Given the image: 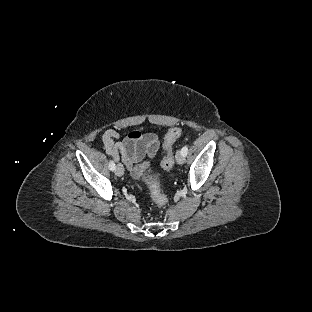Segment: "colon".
<instances>
[{
    "mask_svg": "<svg viewBox=\"0 0 312 312\" xmlns=\"http://www.w3.org/2000/svg\"><path fill=\"white\" fill-rule=\"evenodd\" d=\"M180 136L181 130L176 127L169 129L165 134L163 141V150L165 153L160 161V166L165 171L171 170L175 165V160L173 156V146ZM151 176H152L151 177L152 184L150 186L151 197L156 204H158L159 206H163L167 202V198L163 194L160 187L158 186L161 176L157 172L152 173Z\"/></svg>",
    "mask_w": 312,
    "mask_h": 312,
    "instance_id": "1",
    "label": "colon"
}]
</instances>
